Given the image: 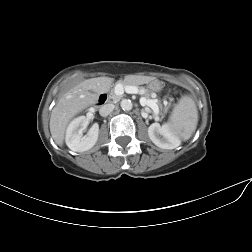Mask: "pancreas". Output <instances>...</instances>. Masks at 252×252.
Segmentation results:
<instances>
[{
    "label": "pancreas",
    "instance_id": "cf45deb5",
    "mask_svg": "<svg viewBox=\"0 0 252 252\" xmlns=\"http://www.w3.org/2000/svg\"><path fill=\"white\" fill-rule=\"evenodd\" d=\"M122 84H124V83H121V82L117 83V85H122ZM142 88H144V87H142ZM144 89H146V88H144ZM110 95H111V98L113 99V101H115V102H117L121 99V96L117 95L113 89L111 90Z\"/></svg>",
    "mask_w": 252,
    "mask_h": 252
}]
</instances>
